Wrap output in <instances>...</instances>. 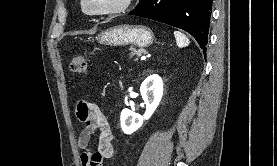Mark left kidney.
<instances>
[{
    "label": "left kidney",
    "instance_id": "1",
    "mask_svg": "<svg viewBox=\"0 0 277 166\" xmlns=\"http://www.w3.org/2000/svg\"><path fill=\"white\" fill-rule=\"evenodd\" d=\"M140 92L146 104V111L143 116L124 109L121 112L120 122L122 131L125 134H132L138 130L144 120H148L158 107L163 96V81L156 74L147 77L141 84Z\"/></svg>",
    "mask_w": 277,
    "mask_h": 166
}]
</instances>
